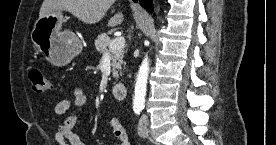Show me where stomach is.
Segmentation results:
<instances>
[{
    "label": "stomach",
    "mask_w": 276,
    "mask_h": 145,
    "mask_svg": "<svg viewBox=\"0 0 276 145\" xmlns=\"http://www.w3.org/2000/svg\"><path fill=\"white\" fill-rule=\"evenodd\" d=\"M61 10L39 17L31 32V40L46 59L56 66H65L82 50L79 37L70 30H62Z\"/></svg>",
    "instance_id": "obj_1"
}]
</instances>
